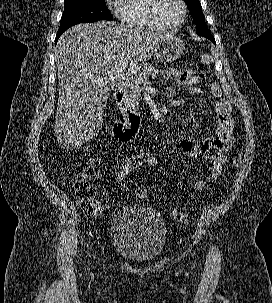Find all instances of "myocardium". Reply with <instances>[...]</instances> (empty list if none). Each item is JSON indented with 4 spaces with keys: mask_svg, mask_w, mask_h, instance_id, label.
Listing matches in <instances>:
<instances>
[{
    "mask_svg": "<svg viewBox=\"0 0 272 303\" xmlns=\"http://www.w3.org/2000/svg\"><path fill=\"white\" fill-rule=\"evenodd\" d=\"M161 2H162V0H151L150 11H151V15H152V18L154 19V21L160 27H162L164 29H175V28H178L180 25H182L187 17V5H186L185 1L178 0L179 4L182 7V16L176 23H173V24H168L165 21H163V19L161 18L160 12H159Z\"/></svg>",
    "mask_w": 272,
    "mask_h": 303,
    "instance_id": "myocardium-1",
    "label": "myocardium"
}]
</instances>
